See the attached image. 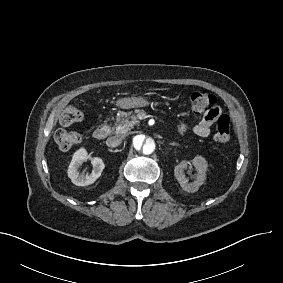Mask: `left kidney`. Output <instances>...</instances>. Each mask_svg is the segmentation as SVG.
<instances>
[{
	"label": "left kidney",
	"mask_w": 283,
	"mask_h": 283,
	"mask_svg": "<svg viewBox=\"0 0 283 283\" xmlns=\"http://www.w3.org/2000/svg\"><path fill=\"white\" fill-rule=\"evenodd\" d=\"M189 165L194 166L196 171L195 181L192 183L188 182L184 174V170L187 169ZM206 170L207 167L205 159L202 157H196L193 160H182L178 163L175 166L174 174L183 190L189 193H194L204 183Z\"/></svg>",
	"instance_id": "1"
}]
</instances>
